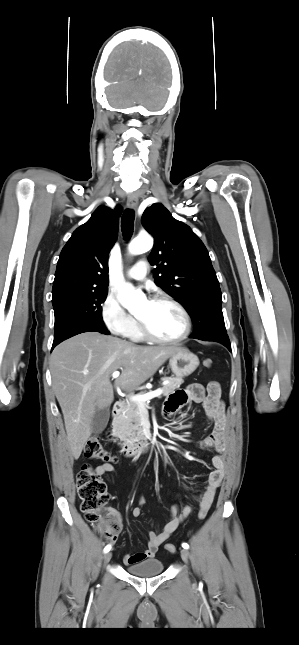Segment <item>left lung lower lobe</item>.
Here are the masks:
<instances>
[{"mask_svg": "<svg viewBox=\"0 0 299 645\" xmlns=\"http://www.w3.org/2000/svg\"><path fill=\"white\" fill-rule=\"evenodd\" d=\"M191 338H193V337L191 336ZM196 339H197V338H196ZM200 340H205V341H208V340H209V341H216V342H219V343L223 344V345H224V346H225L229 351H231L230 341H229V338H228V336H227V332H226V331H225V332H218V333L212 334V335H210V336H207V337L201 338Z\"/></svg>", "mask_w": 299, "mask_h": 645, "instance_id": "obj_1", "label": "left lung lower lobe"}]
</instances>
